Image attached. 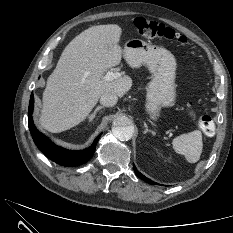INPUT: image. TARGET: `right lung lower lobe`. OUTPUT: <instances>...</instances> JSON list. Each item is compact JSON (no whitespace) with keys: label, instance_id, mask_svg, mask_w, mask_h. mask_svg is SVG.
<instances>
[{"label":"right lung lower lobe","instance_id":"98d812e1","mask_svg":"<svg viewBox=\"0 0 233 233\" xmlns=\"http://www.w3.org/2000/svg\"><path fill=\"white\" fill-rule=\"evenodd\" d=\"M33 106L34 97L32 94L28 109V126L36 146L46 157L63 166H78L90 160L101 134L94 140L92 146L87 149L71 151L61 148L36 129L32 120Z\"/></svg>","mask_w":233,"mask_h":233}]
</instances>
